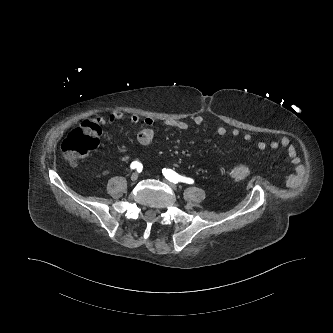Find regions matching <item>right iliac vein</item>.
<instances>
[{
	"label": "right iliac vein",
	"mask_w": 333,
	"mask_h": 333,
	"mask_svg": "<svg viewBox=\"0 0 333 333\" xmlns=\"http://www.w3.org/2000/svg\"><path fill=\"white\" fill-rule=\"evenodd\" d=\"M130 178H131V181H133V182L137 181V179H138V173L134 172V173L131 175Z\"/></svg>",
	"instance_id": "1"
}]
</instances>
